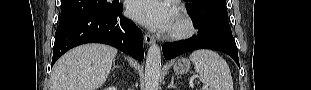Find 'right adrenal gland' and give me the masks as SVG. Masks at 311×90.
<instances>
[{"instance_id":"1","label":"right adrenal gland","mask_w":311,"mask_h":90,"mask_svg":"<svg viewBox=\"0 0 311 90\" xmlns=\"http://www.w3.org/2000/svg\"><path fill=\"white\" fill-rule=\"evenodd\" d=\"M114 68H119V66H116V65H115V62H113V69H114ZM113 69H112V70H113Z\"/></svg>"}]
</instances>
